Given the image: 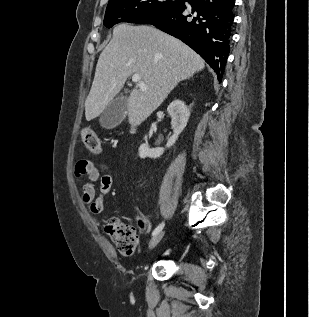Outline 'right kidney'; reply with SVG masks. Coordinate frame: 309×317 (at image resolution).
Here are the masks:
<instances>
[{
    "instance_id": "ca27d5eb",
    "label": "right kidney",
    "mask_w": 309,
    "mask_h": 317,
    "mask_svg": "<svg viewBox=\"0 0 309 317\" xmlns=\"http://www.w3.org/2000/svg\"><path fill=\"white\" fill-rule=\"evenodd\" d=\"M167 112L171 117V125L173 129V135L168 139L166 148L173 146L178 139L181 132L185 129L189 117L190 110L187 108L185 103L181 100H174L167 108ZM164 148H153L150 149L147 144H141L139 147L140 158H159L164 153Z\"/></svg>"
}]
</instances>
